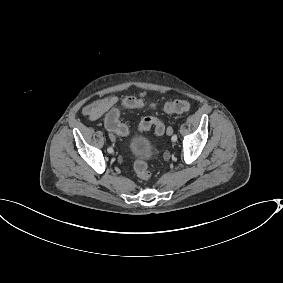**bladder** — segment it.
I'll return each instance as SVG.
<instances>
[{
  "mask_svg": "<svg viewBox=\"0 0 283 283\" xmlns=\"http://www.w3.org/2000/svg\"><path fill=\"white\" fill-rule=\"evenodd\" d=\"M128 149L136 154L140 159L151 161L154 157V146L150 144V139L143 132H138L128 142Z\"/></svg>",
  "mask_w": 283,
  "mask_h": 283,
  "instance_id": "31cf9c89",
  "label": "bladder"
}]
</instances>
